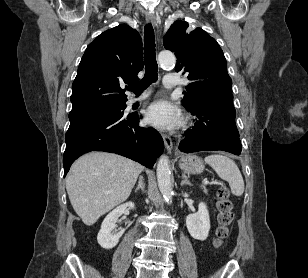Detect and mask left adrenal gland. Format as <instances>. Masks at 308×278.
Instances as JSON below:
<instances>
[{
	"mask_svg": "<svg viewBox=\"0 0 308 278\" xmlns=\"http://www.w3.org/2000/svg\"><path fill=\"white\" fill-rule=\"evenodd\" d=\"M182 178H183V181L181 182V186H184V185L192 186V184L188 180V177L185 174L182 175Z\"/></svg>",
	"mask_w": 308,
	"mask_h": 278,
	"instance_id": "left-adrenal-gland-1",
	"label": "left adrenal gland"
}]
</instances>
